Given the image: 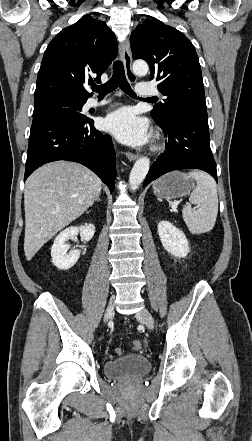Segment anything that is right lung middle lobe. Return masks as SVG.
<instances>
[{"instance_id": "dd1d6c3e", "label": "right lung middle lobe", "mask_w": 252, "mask_h": 441, "mask_svg": "<svg viewBox=\"0 0 252 441\" xmlns=\"http://www.w3.org/2000/svg\"><path fill=\"white\" fill-rule=\"evenodd\" d=\"M85 102L86 100L57 98L34 103L33 119L47 115L85 119L80 113Z\"/></svg>"}]
</instances>
